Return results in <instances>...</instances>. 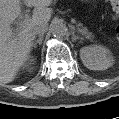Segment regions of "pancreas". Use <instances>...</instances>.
Returning <instances> with one entry per match:
<instances>
[{
  "label": "pancreas",
  "mask_w": 119,
  "mask_h": 119,
  "mask_svg": "<svg viewBox=\"0 0 119 119\" xmlns=\"http://www.w3.org/2000/svg\"><path fill=\"white\" fill-rule=\"evenodd\" d=\"M78 32L82 34L85 38L91 39L93 37L92 33L87 30L86 27H82L81 24L77 26Z\"/></svg>",
  "instance_id": "cf45deb5"
}]
</instances>
